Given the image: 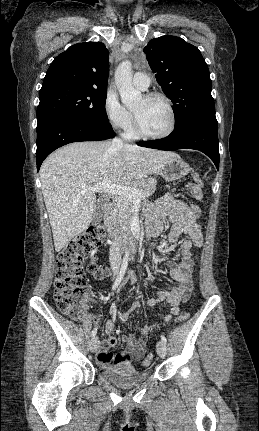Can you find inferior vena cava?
I'll return each mask as SVG.
<instances>
[{
  "label": "inferior vena cava",
  "mask_w": 259,
  "mask_h": 431,
  "mask_svg": "<svg viewBox=\"0 0 259 431\" xmlns=\"http://www.w3.org/2000/svg\"><path fill=\"white\" fill-rule=\"evenodd\" d=\"M112 144L113 146L118 148H121L124 145L123 141L119 138H114L112 140ZM109 259L112 265H119L121 262V253H120V248L117 241H114L110 247Z\"/></svg>",
  "instance_id": "obj_1"
}]
</instances>
